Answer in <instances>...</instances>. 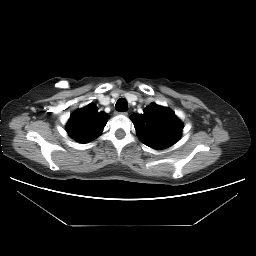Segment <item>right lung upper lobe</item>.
I'll use <instances>...</instances> for the list:
<instances>
[{
	"label": "right lung upper lobe",
	"mask_w": 256,
	"mask_h": 256,
	"mask_svg": "<svg viewBox=\"0 0 256 256\" xmlns=\"http://www.w3.org/2000/svg\"><path fill=\"white\" fill-rule=\"evenodd\" d=\"M109 116L98 112L94 104L74 112L67 123V132L75 140L85 143L99 136L105 127Z\"/></svg>",
	"instance_id": "cb5924a9"
}]
</instances>
